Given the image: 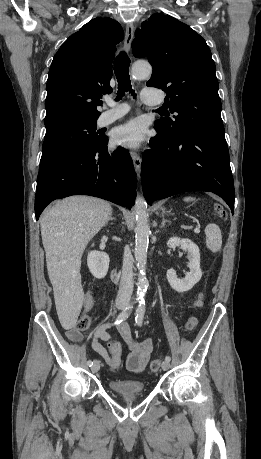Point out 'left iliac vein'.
Returning <instances> with one entry per match:
<instances>
[{
	"instance_id": "1",
	"label": "left iliac vein",
	"mask_w": 261,
	"mask_h": 459,
	"mask_svg": "<svg viewBox=\"0 0 261 459\" xmlns=\"http://www.w3.org/2000/svg\"><path fill=\"white\" fill-rule=\"evenodd\" d=\"M169 368H170V363H169V361H167V360L163 361V362H162V369H163L164 371H167Z\"/></svg>"
}]
</instances>
